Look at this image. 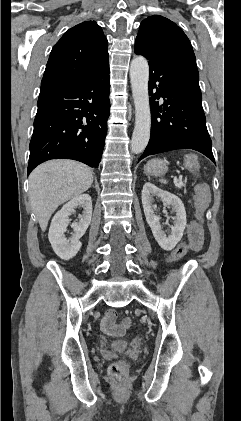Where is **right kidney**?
Listing matches in <instances>:
<instances>
[{"mask_svg": "<svg viewBox=\"0 0 241 421\" xmlns=\"http://www.w3.org/2000/svg\"><path fill=\"white\" fill-rule=\"evenodd\" d=\"M77 207L83 208V215L79 222H73L72 236L68 239L65 236L67 226L70 223L69 216ZM92 218V200L90 195L81 194L59 210L52 219L48 238L54 252L64 260L73 258L81 248L80 238L85 234Z\"/></svg>", "mask_w": 241, "mask_h": 421, "instance_id": "ca27d5eb", "label": "right kidney"}]
</instances>
